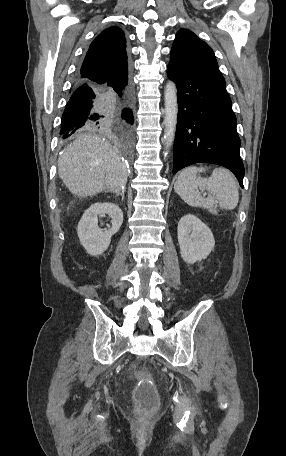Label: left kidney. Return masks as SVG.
<instances>
[{
	"label": "left kidney",
	"mask_w": 286,
	"mask_h": 456,
	"mask_svg": "<svg viewBox=\"0 0 286 456\" xmlns=\"http://www.w3.org/2000/svg\"><path fill=\"white\" fill-rule=\"evenodd\" d=\"M177 233L181 257L188 264L205 259L215 246L213 233L195 215L183 216L178 223Z\"/></svg>",
	"instance_id": "5707ae66"
}]
</instances>
